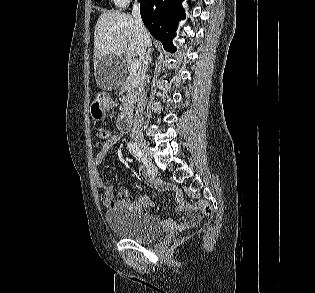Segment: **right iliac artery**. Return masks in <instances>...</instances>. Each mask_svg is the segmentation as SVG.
Returning a JSON list of instances; mask_svg holds the SVG:
<instances>
[{
	"label": "right iliac artery",
	"mask_w": 315,
	"mask_h": 293,
	"mask_svg": "<svg viewBox=\"0 0 315 293\" xmlns=\"http://www.w3.org/2000/svg\"><path fill=\"white\" fill-rule=\"evenodd\" d=\"M128 149L136 157V159H138L139 161L142 159V152L137 143L130 141L128 143Z\"/></svg>",
	"instance_id": "82829eb1"
}]
</instances>
